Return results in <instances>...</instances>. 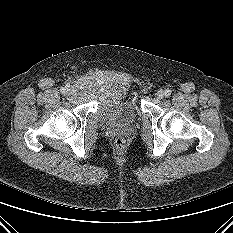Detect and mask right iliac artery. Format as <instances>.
<instances>
[{
	"instance_id": "1",
	"label": "right iliac artery",
	"mask_w": 233,
	"mask_h": 233,
	"mask_svg": "<svg viewBox=\"0 0 233 233\" xmlns=\"http://www.w3.org/2000/svg\"><path fill=\"white\" fill-rule=\"evenodd\" d=\"M69 86L67 85L65 88H61L60 89V92L63 94V93H65V91H66V89L68 88Z\"/></svg>"
}]
</instances>
